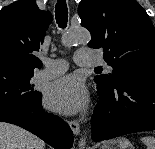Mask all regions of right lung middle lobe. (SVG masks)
Masks as SVG:
<instances>
[{"instance_id":"right-lung-middle-lobe-1","label":"right lung middle lobe","mask_w":155,"mask_h":149,"mask_svg":"<svg viewBox=\"0 0 155 149\" xmlns=\"http://www.w3.org/2000/svg\"><path fill=\"white\" fill-rule=\"evenodd\" d=\"M32 77L33 73L0 68V107L27 109L35 105L42 94L34 91Z\"/></svg>"}]
</instances>
